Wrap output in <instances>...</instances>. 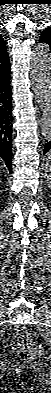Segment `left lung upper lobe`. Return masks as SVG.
Segmentation results:
<instances>
[{
    "label": "left lung upper lobe",
    "instance_id": "5c2ea615",
    "mask_svg": "<svg viewBox=\"0 0 51 393\" xmlns=\"http://www.w3.org/2000/svg\"><path fill=\"white\" fill-rule=\"evenodd\" d=\"M41 43H47L50 47V51H51V26L45 28L42 32H41V36H40V40Z\"/></svg>",
    "mask_w": 51,
    "mask_h": 393
}]
</instances>
